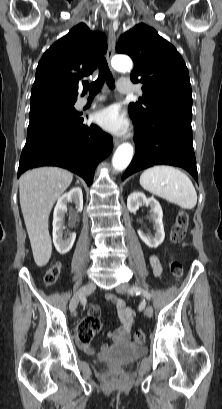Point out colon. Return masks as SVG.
<instances>
[{
  "instance_id": "5ec220e1",
  "label": "colon",
  "mask_w": 222,
  "mask_h": 409,
  "mask_svg": "<svg viewBox=\"0 0 222 409\" xmlns=\"http://www.w3.org/2000/svg\"><path fill=\"white\" fill-rule=\"evenodd\" d=\"M188 223H189L188 214L185 211H180L171 229L169 237L171 244H178L184 239L188 229ZM168 266L172 275L176 279H179L182 276L183 267L178 260L170 259L168 262ZM60 271L61 265L59 263L53 264L44 275V283L47 286L53 285L58 280ZM99 329L100 323L97 320L84 319L79 323L77 329V336L79 341L90 343V341L99 331ZM134 338L137 343H143L145 341V335L141 330L136 331ZM112 378L114 380H117L118 379L117 373H113Z\"/></svg>"
}]
</instances>
